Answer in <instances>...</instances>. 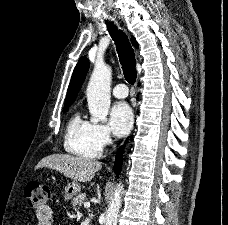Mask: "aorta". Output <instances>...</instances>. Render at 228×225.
I'll list each match as a JSON object with an SVG mask.
<instances>
[{
	"label": "aorta",
	"instance_id": "1",
	"mask_svg": "<svg viewBox=\"0 0 228 225\" xmlns=\"http://www.w3.org/2000/svg\"><path fill=\"white\" fill-rule=\"evenodd\" d=\"M112 70L104 62H96L87 86V100L90 123H106L110 108V84ZM123 185L118 183L111 203L106 211L105 225H117L119 209L122 205Z\"/></svg>",
	"mask_w": 228,
	"mask_h": 225
}]
</instances>
